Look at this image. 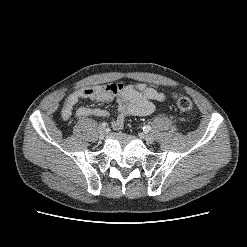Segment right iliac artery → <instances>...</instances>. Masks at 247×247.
<instances>
[{
    "instance_id": "82829eb1",
    "label": "right iliac artery",
    "mask_w": 247,
    "mask_h": 247,
    "mask_svg": "<svg viewBox=\"0 0 247 247\" xmlns=\"http://www.w3.org/2000/svg\"><path fill=\"white\" fill-rule=\"evenodd\" d=\"M106 125H107V124H106L105 122L102 123V126H103V127H106Z\"/></svg>"
}]
</instances>
